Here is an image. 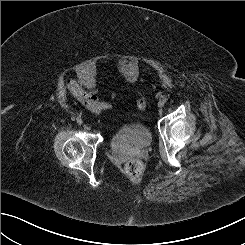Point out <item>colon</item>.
I'll use <instances>...</instances> for the list:
<instances>
[{
  "label": "colon",
  "mask_w": 245,
  "mask_h": 245,
  "mask_svg": "<svg viewBox=\"0 0 245 245\" xmlns=\"http://www.w3.org/2000/svg\"><path fill=\"white\" fill-rule=\"evenodd\" d=\"M137 107L141 110L146 108V98L144 96H141L137 100ZM142 169V163L136 159L128 161L125 165V171L131 176H138L142 172Z\"/></svg>",
  "instance_id": "colon-1"
}]
</instances>
